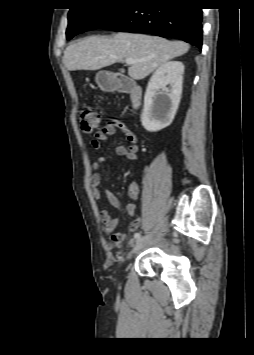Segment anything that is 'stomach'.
<instances>
[{"label":"stomach","instance_id":"0dacf381","mask_svg":"<svg viewBox=\"0 0 254 355\" xmlns=\"http://www.w3.org/2000/svg\"><path fill=\"white\" fill-rule=\"evenodd\" d=\"M98 77H99V74L97 75L96 80L100 85H102V83L99 81Z\"/></svg>","mask_w":254,"mask_h":355}]
</instances>
